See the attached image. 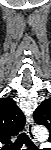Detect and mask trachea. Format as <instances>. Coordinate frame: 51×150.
Instances as JSON below:
<instances>
[{"instance_id":"obj_1","label":"trachea","mask_w":51,"mask_h":150,"mask_svg":"<svg viewBox=\"0 0 51 150\" xmlns=\"http://www.w3.org/2000/svg\"><path fill=\"white\" fill-rule=\"evenodd\" d=\"M23 143L29 148V150H34L36 146L33 144V142L29 139V137L25 133H21L17 140L11 144L7 145V150H20Z\"/></svg>"}]
</instances>
